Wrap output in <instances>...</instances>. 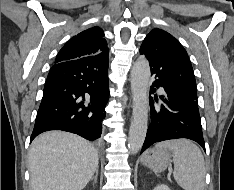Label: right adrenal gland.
<instances>
[{
    "instance_id": "right-adrenal-gland-1",
    "label": "right adrenal gland",
    "mask_w": 234,
    "mask_h": 190,
    "mask_svg": "<svg viewBox=\"0 0 234 190\" xmlns=\"http://www.w3.org/2000/svg\"><path fill=\"white\" fill-rule=\"evenodd\" d=\"M97 177H98V170L96 171V174L94 177H92L91 180H94V183H97Z\"/></svg>"
}]
</instances>
